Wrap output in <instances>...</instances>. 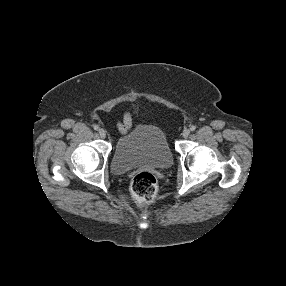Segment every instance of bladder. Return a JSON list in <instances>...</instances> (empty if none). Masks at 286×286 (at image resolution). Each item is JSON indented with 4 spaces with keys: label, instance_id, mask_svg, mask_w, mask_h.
Instances as JSON below:
<instances>
[{
    "label": "bladder",
    "instance_id": "obj_1",
    "mask_svg": "<svg viewBox=\"0 0 286 286\" xmlns=\"http://www.w3.org/2000/svg\"><path fill=\"white\" fill-rule=\"evenodd\" d=\"M172 162L173 155L164 132L157 126L138 123L117 140L111 167L114 173L121 175L141 166L167 169Z\"/></svg>",
    "mask_w": 286,
    "mask_h": 286
}]
</instances>
